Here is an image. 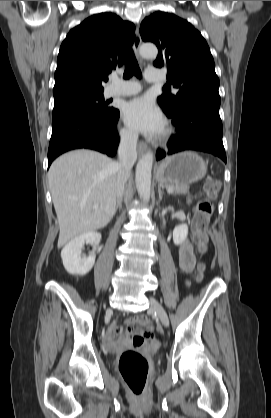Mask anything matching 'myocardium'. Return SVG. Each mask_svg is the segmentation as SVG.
<instances>
[{
	"instance_id": "1",
	"label": "myocardium",
	"mask_w": 271,
	"mask_h": 418,
	"mask_svg": "<svg viewBox=\"0 0 271 418\" xmlns=\"http://www.w3.org/2000/svg\"><path fill=\"white\" fill-rule=\"evenodd\" d=\"M170 134H171V130L169 128H167L162 135V140L163 141L167 140L168 137L170 136Z\"/></svg>"
}]
</instances>
